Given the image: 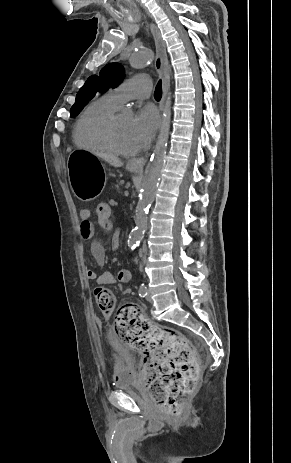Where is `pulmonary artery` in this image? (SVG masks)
I'll return each mask as SVG.
<instances>
[{"label":"pulmonary artery","instance_id":"obj_1","mask_svg":"<svg viewBox=\"0 0 291 463\" xmlns=\"http://www.w3.org/2000/svg\"><path fill=\"white\" fill-rule=\"evenodd\" d=\"M151 89L152 81L150 76L141 74L127 79L118 87L110 90L109 94L113 101L120 106L131 99L148 98Z\"/></svg>","mask_w":291,"mask_h":463}]
</instances>
